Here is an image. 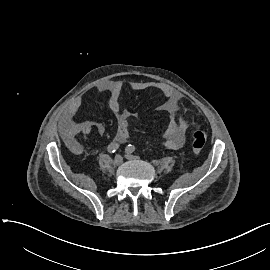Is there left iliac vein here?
<instances>
[{
    "instance_id": "4c4485c4",
    "label": "left iliac vein",
    "mask_w": 270,
    "mask_h": 270,
    "mask_svg": "<svg viewBox=\"0 0 270 270\" xmlns=\"http://www.w3.org/2000/svg\"><path fill=\"white\" fill-rule=\"evenodd\" d=\"M125 157H126L127 159H129V160H134V159L137 158L136 156L132 155L131 153H126V154H125Z\"/></svg>"
}]
</instances>
